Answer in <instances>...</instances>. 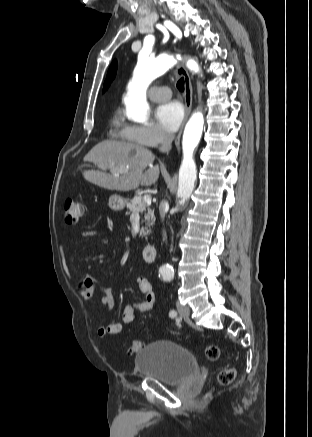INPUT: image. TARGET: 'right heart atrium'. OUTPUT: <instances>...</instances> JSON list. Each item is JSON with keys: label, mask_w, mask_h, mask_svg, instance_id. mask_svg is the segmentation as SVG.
<instances>
[{"label": "right heart atrium", "mask_w": 312, "mask_h": 437, "mask_svg": "<svg viewBox=\"0 0 312 437\" xmlns=\"http://www.w3.org/2000/svg\"><path fill=\"white\" fill-rule=\"evenodd\" d=\"M125 140L148 147L168 142L169 136L155 124L126 125L123 131Z\"/></svg>", "instance_id": "right-heart-atrium-1"}]
</instances>
